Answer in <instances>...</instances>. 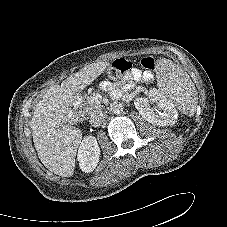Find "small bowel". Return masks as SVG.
I'll list each match as a JSON object with an SVG mask.
<instances>
[{
    "label": "small bowel",
    "mask_w": 227,
    "mask_h": 227,
    "mask_svg": "<svg viewBox=\"0 0 227 227\" xmlns=\"http://www.w3.org/2000/svg\"><path fill=\"white\" fill-rule=\"evenodd\" d=\"M132 75L135 80H144L147 82L151 81L153 78L151 73H142L139 69H134Z\"/></svg>",
    "instance_id": "c3829d8e"
}]
</instances>
